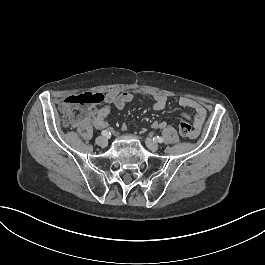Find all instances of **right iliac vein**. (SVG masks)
I'll list each match as a JSON object with an SVG mask.
<instances>
[{"mask_svg":"<svg viewBox=\"0 0 265 265\" xmlns=\"http://www.w3.org/2000/svg\"><path fill=\"white\" fill-rule=\"evenodd\" d=\"M95 141L99 146L102 147H105L108 144V140L104 136H98Z\"/></svg>","mask_w":265,"mask_h":265,"instance_id":"right-iliac-vein-1","label":"right iliac vein"}]
</instances>
